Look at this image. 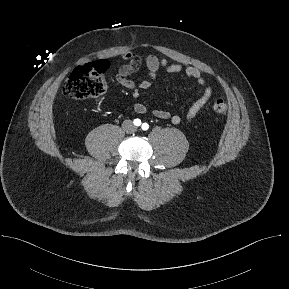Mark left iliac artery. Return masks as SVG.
I'll list each match as a JSON object with an SVG mask.
<instances>
[{
	"mask_svg": "<svg viewBox=\"0 0 289 289\" xmlns=\"http://www.w3.org/2000/svg\"><path fill=\"white\" fill-rule=\"evenodd\" d=\"M149 128V125L147 123L142 124V129L147 130Z\"/></svg>",
	"mask_w": 289,
	"mask_h": 289,
	"instance_id": "44dca946",
	"label": "left iliac artery"
}]
</instances>
